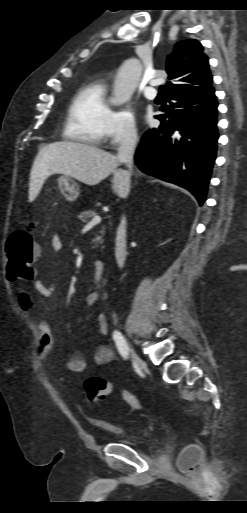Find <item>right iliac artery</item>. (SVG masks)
I'll list each match as a JSON object with an SVG mask.
<instances>
[{
  "instance_id": "82829eb1",
  "label": "right iliac artery",
  "mask_w": 247,
  "mask_h": 513,
  "mask_svg": "<svg viewBox=\"0 0 247 513\" xmlns=\"http://www.w3.org/2000/svg\"><path fill=\"white\" fill-rule=\"evenodd\" d=\"M113 339H114V342H115L117 349H118L119 353L121 354V356L124 359H127L128 358V346L125 341V338L122 336V334L120 332L114 331Z\"/></svg>"
}]
</instances>
